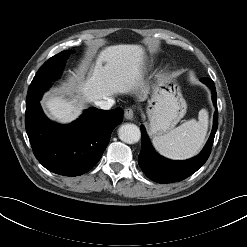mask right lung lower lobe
I'll list each match as a JSON object with an SVG mask.
<instances>
[{"label": "right lung lower lobe", "instance_id": "right-lung-lower-lobe-1", "mask_svg": "<svg viewBox=\"0 0 247 247\" xmlns=\"http://www.w3.org/2000/svg\"><path fill=\"white\" fill-rule=\"evenodd\" d=\"M50 85L28 89L25 127L32 150L49 171L64 176L82 175L100 160L111 132L123 121V110L90 108L70 125L56 124L46 118L39 104Z\"/></svg>", "mask_w": 247, "mask_h": 247}]
</instances>
